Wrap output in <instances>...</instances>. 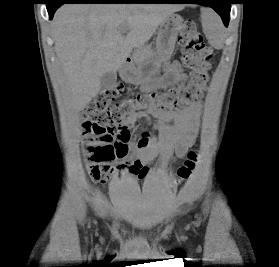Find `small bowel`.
I'll list each match as a JSON object with an SVG mask.
<instances>
[{
    "label": "small bowel",
    "instance_id": "small-bowel-1",
    "mask_svg": "<svg viewBox=\"0 0 279 267\" xmlns=\"http://www.w3.org/2000/svg\"><path fill=\"white\" fill-rule=\"evenodd\" d=\"M186 79L179 62L171 63L165 72L162 85L177 84ZM155 118L157 125L154 128L155 136L144 133V142L140 138L133 143V155L141 165H149L154 160L160 159L162 163L168 164L182 157L196 138L201 119V104L193 103L181 110L154 111L148 110L133 114L128 119L130 129L135 128L140 118ZM141 178L149 173V168L144 167L140 171H132ZM109 178H104L107 183Z\"/></svg>",
    "mask_w": 279,
    "mask_h": 267
}]
</instances>
